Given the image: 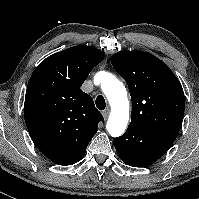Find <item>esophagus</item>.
Wrapping results in <instances>:
<instances>
[{
    "instance_id": "obj_1",
    "label": "esophagus",
    "mask_w": 199,
    "mask_h": 199,
    "mask_svg": "<svg viewBox=\"0 0 199 199\" xmlns=\"http://www.w3.org/2000/svg\"><path fill=\"white\" fill-rule=\"evenodd\" d=\"M109 113H110V110H109V109H106V110H104V111L102 112V115H103V117H104L105 120L108 119Z\"/></svg>"
}]
</instances>
